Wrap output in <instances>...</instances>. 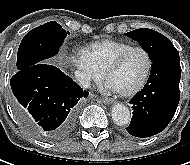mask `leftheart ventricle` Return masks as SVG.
Instances as JSON below:
<instances>
[{
	"label": "left heart ventricle",
	"mask_w": 190,
	"mask_h": 165,
	"mask_svg": "<svg viewBox=\"0 0 190 165\" xmlns=\"http://www.w3.org/2000/svg\"><path fill=\"white\" fill-rule=\"evenodd\" d=\"M147 67V59L143 52H130L120 66L111 73L108 84L114 90H128L134 87L143 77Z\"/></svg>",
	"instance_id": "1"
}]
</instances>
